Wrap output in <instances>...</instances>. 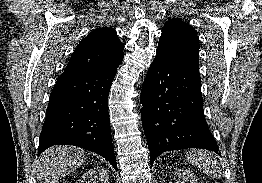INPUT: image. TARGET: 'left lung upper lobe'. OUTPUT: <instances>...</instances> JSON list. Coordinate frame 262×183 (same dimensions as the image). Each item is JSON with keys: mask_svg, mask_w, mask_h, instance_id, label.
<instances>
[{"mask_svg": "<svg viewBox=\"0 0 262 183\" xmlns=\"http://www.w3.org/2000/svg\"><path fill=\"white\" fill-rule=\"evenodd\" d=\"M198 52L199 42L193 27L177 18L165 23L156 54L198 70Z\"/></svg>", "mask_w": 262, "mask_h": 183, "instance_id": "5c2ea615", "label": "left lung upper lobe"}]
</instances>
